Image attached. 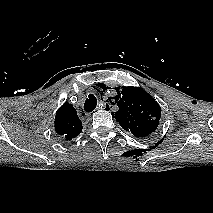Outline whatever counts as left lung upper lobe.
<instances>
[{"mask_svg":"<svg viewBox=\"0 0 213 213\" xmlns=\"http://www.w3.org/2000/svg\"><path fill=\"white\" fill-rule=\"evenodd\" d=\"M116 91L117 95L112 99L119 109L112 116L121 127L136 137H146L154 132L161 117L157 101L138 87L117 88Z\"/></svg>","mask_w":213,"mask_h":213,"instance_id":"obj_1","label":"left lung upper lobe"}]
</instances>
